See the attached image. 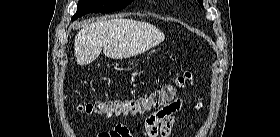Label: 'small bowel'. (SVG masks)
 Segmentation results:
<instances>
[{"label":"small bowel","instance_id":"small-bowel-1","mask_svg":"<svg viewBox=\"0 0 280 137\" xmlns=\"http://www.w3.org/2000/svg\"><path fill=\"white\" fill-rule=\"evenodd\" d=\"M183 106V100L176 99L156 110L142 124L143 132L148 137H170L177 121V114ZM98 137H132V132L126 126L118 125L111 131L99 133Z\"/></svg>","mask_w":280,"mask_h":137}]
</instances>
